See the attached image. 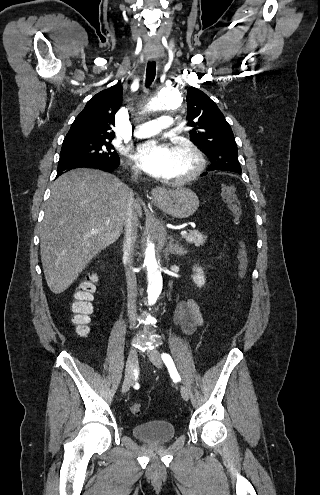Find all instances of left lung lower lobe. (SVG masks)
<instances>
[{"instance_id":"1","label":"left lung lower lobe","mask_w":320,"mask_h":495,"mask_svg":"<svg viewBox=\"0 0 320 495\" xmlns=\"http://www.w3.org/2000/svg\"><path fill=\"white\" fill-rule=\"evenodd\" d=\"M204 175H206V173H203L201 176H204Z\"/></svg>"}]
</instances>
